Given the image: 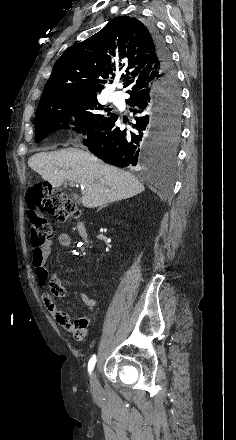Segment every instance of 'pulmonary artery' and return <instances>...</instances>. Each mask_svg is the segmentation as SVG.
<instances>
[{
  "instance_id": "obj_1",
  "label": "pulmonary artery",
  "mask_w": 236,
  "mask_h": 440,
  "mask_svg": "<svg viewBox=\"0 0 236 440\" xmlns=\"http://www.w3.org/2000/svg\"><path fill=\"white\" fill-rule=\"evenodd\" d=\"M112 100L113 102L117 103L119 101V97L117 94H112Z\"/></svg>"
}]
</instances>
